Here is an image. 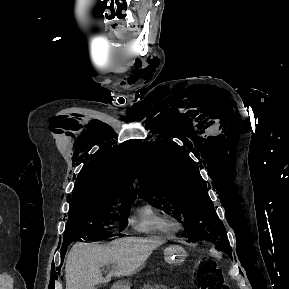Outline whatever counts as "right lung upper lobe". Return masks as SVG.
<instances>
[{"mask_svg": "<svg viewBox=\"0 0 289 289\" xmlns=\"http://www.w3.org/2000/svg\"><path fill=\"white\" fill-rule=\"evenodd\" d=\"M130 156L120 146L100 149L81 170L76 179L72 199L118 197L135 199L131 187Z\"/></svg>", "mask_w": 289, "mask_h": 289, "instance_id": "1", "label": "right lung upper lobe"}]
</instances>
